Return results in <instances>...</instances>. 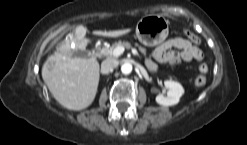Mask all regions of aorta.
Masks as SVG:
<instances>
[{
    "label": "aorta",
    "mask_w": 247,
    "mask_h": 145,
    "mask_svg": "<svg viewBox=\"0 0 247 145\" xmlns=\"http://www.w3.org/2000/svg\"><path fill=\"white\" fill-rule=\"evenodd\" d=\"M121 72L123 74H126V75L127 74H130L132 72V64L129 63V62H126V63L122 64V66H121Z\"/></svg>",
    "instance_id": "762f6f07"
}]
</instances>
